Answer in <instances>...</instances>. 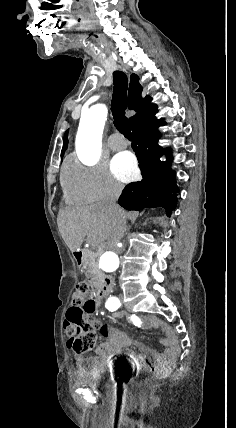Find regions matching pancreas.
<instances>
[{
	"label": "pancreas",
	"instance_id": "cf45deb5",
	"mask_svg": "<svg viewBox=\"0 0 236 428\" xmlns=\"http://www.w3.org/2000/svg\"><path fill=\"white\" fill-rule=\"evenodd\" d=\"M100 256L101 254H89L88 258H86L85 260V270H87V272H90L89 278H91V288H98L99 278L100 276H102L98 268Z\"/></svg>",
	"mask_w": 236,
	"mask_h": 428
}]
</instances>
